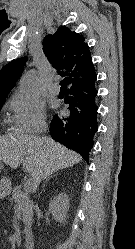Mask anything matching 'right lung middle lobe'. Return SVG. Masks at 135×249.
Segmentation results:
<instances>
[{"label": "right lung middle lobe", "mask_w": 135, "mask_h": 249, "mask_svg": "<svg viewBox=\"0 0 135 249\" xmlns=\"http://www.w3.org/2000/svg\"><path fill=\"white\" fill-rule=\"evenodd\" d=\"M5 103V100H3V101H0V110H1V107H2V105Z\"/></svg>", "instance_id": "obj_1"}]
</instances>
